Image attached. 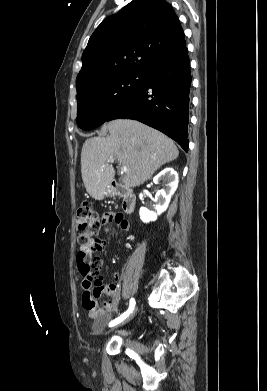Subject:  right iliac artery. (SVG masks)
Masks as SVG:
<instances>
[{
  "instance_id": "obj_1",
  "label": "right iliac artery",
  "mask_w": 267,
  "mask_h": 391,
  "mask_svg": "<svg viewBox=\"0 0 267 391\" xmlns=\"http://www.w3.org/2000/svg\"><path fill=\"white\" fill-rule=\"evenodd\" d=\"M134 306H135V300L133 298L130 299V305H129V309L123 314L121 315L119 318L113 320L109 326H114L118 323H120L121 321H123L131 312L132 310L134 309Z\"/></svg>"
}]
</instances>
